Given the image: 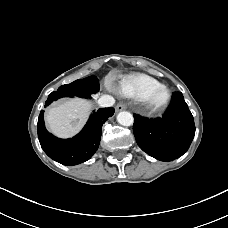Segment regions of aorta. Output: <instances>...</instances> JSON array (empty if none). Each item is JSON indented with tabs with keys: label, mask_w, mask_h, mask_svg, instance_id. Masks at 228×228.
<instances>
[{
	"label": "aorta",
	"mask_w": 228,
	"mask_h": 228,
	"mask_svg": "<svg viewBox=\"0 0 228 228\" xmlns=\"http://www.w3.org/2000/svg\"><path fill=\"white\" fill-rule=\"evenodd\" d=\"M117 121L123 126H131L134 122V118L130 112L121 111L117 115Z\"/></svg>",
	"instance_id": "1"
}]
</instances>
